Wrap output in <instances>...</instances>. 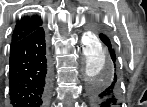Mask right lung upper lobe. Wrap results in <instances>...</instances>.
I'll list each match as a JSON object with an SVG mask.
<instances>
[{"label": "right lung upper lobe", "instance_id": "right-lung-upper-lobe-1", "mask_svg": "<svg viewBox=\"0 0 147 107\" xmlns=\"http://www.w3.org/2000/svg\"><path fill=\"white\" fill-rule=\"evenodd\" d=\"M42 21L41 18L37 16H25L19 20L15 26V29L12 34V42H15L23 39L28 36L30 33L41 27Z\"/></svg>", "mask_w": 147, "mask_h": 107}]
</instances>
